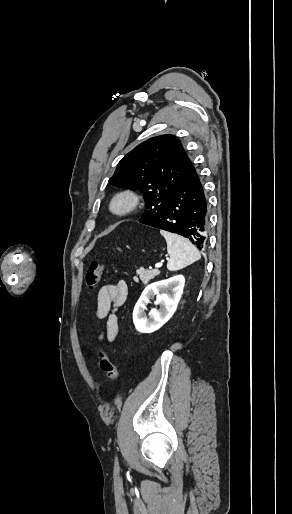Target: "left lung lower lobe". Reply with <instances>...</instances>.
Instances as JSON below:
<instances>
[{
	"label": "left lung lower lobe",
	"instance_id": "0a47b994",
	"mask_svg": "<svg viewBox=\"0 0 292 514\" xmlns=\"http://www.w3.org/2000/svg\"><path fill=\"white\" fill-rule=\"evenodd\" d=\"M144 224L182 235L199 250L206 246L207 200L193 164L185 179L162 206L161 213Z\"/></svg>",
	"mask_w": 292,
	"mask_h": 514
}]
</instances>
